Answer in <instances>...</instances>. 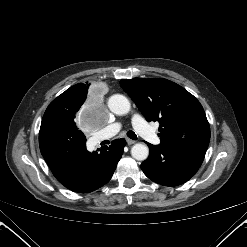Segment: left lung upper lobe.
<instances>
[{"label": "left lung upper lobe", "mask_w": 247, "mask_h": 247, "mask_svg": "<svg viewBox=\"0 0 247 247\" xmlns=\"http://www.w3.org/2000/svg\"><path fill=\"white\" fill-rule=\"evenodd\" d=\"M120 85L147 121L160 123L162 145L210 140V127L200 102L167 79H123Z\"/></svg>", "instance_id": "obj_1"}]
</instances>
